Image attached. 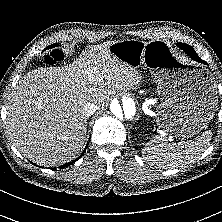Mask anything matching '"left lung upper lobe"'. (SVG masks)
Instances as JSON below:
<instances>
[{"mask_svg":"<svg viewBox=\"0 0 222 222\" xmlns=\"http://www.w3.org/2000/svg\"><path fill=\"white\" fill-rule=\"evenodd\" d=\"M177 46H178L179 48L183 49L186 53H188V52L196 53V52L194 51V49H193L191 46L187 45V44L177 43Z\"/></svg>","mask_w":222,"mask_h":222,"instance_id":"5c2ea615","label":"left lung upper lobe"}]
</instances>
